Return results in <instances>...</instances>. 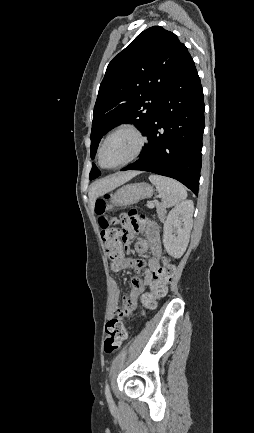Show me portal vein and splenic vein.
Returning <instances> with one entry per match:
<instances>
[{
	"label": "portal vein and splenic vein",
	"instance_id": "18ae733b",
	"mask_svg": "<svg viewBox=\"0 0 254 433\" xmlns=\"http://www.w3.org/2000/svg\"><path fill=\"white\" fill-rule=\"evenodd\" d=\"M149 206H150V207H152V206H153V204H150Z\"/></svg>",
	"mask_w": 254,
	"mask_h": 433
}]
</instances>
